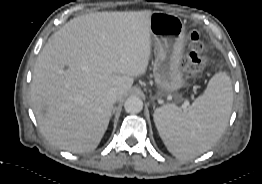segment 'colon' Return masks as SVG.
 <instances>
[{
	"label": "colon",
	"mask_w": 262,
	"mask_h": 184,
	"mask_svg": "<svg viewBox=\"0 0 262 184\" xmlns=\"http://www.w3.org/2000/svg\"><path fill=\"white\" fill-rule=\"evenodd\" d=\"M206 46L198 33L193 32L189 38V51L183 61L185 76L189 79L198 77L206 65Z\"/></svg>",
	"instance_id": "obj_1"
}]
</instances>
